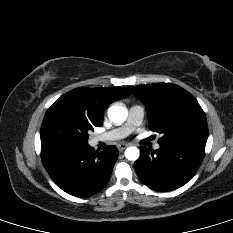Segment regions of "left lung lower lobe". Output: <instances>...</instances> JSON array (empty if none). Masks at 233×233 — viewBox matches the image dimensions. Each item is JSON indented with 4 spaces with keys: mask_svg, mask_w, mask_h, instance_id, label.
I'll use <instances>...</instances> for the list:
<instances>
[{
    "mask_svg": "<svg viewBox=\"0 0 233 233\" xmlns=\"http://www.w3.org/2000/svg\"><path fill=\"white\" fill-rule=\"evenodd\" d=\"M206 143L177 142L160 145L158 150L141 146L135 163L141 181L149 188L166 192L186 184L197 172L205 153Z\"/></svg>",
    "mask_w": 233,
    "mask_h": 233,
    "instance_id": "left-lung-lower-lobe-1",
    "label": "left lung lower lobe"
}]
</instances>
